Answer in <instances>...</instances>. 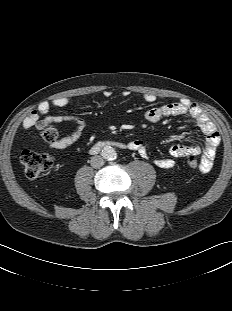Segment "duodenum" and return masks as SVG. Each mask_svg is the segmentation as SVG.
Masks as SVG:
<instances>
[{
    "mask_svg": "<svg viewBox=\"0 0 232 311\" xmlns=\"http://www.w3.org/2000/svg\"><path fill=\"white\" fill-rule=\"evenodd\" d=\"M108 147H114L117 149H127L128 144H125L119 141H100L91 148V151L98 152L101 149L108 148Z\"/></svg>",
    "mask_w": 232,
    "mask_h": 311,
    "instance_id": "1",
    "label": "duodenum"
}]
</instances>
